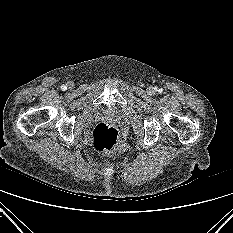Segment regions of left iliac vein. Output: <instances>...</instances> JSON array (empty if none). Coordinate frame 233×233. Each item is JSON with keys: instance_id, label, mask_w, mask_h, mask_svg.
Wrapping results in <instances>:
<instances>
[{"instance_id": "left-iliac-vein-1", "label": "left iliac vein", "mask_w": 233, "mask_h": 233, "mask_svg": "<svg viewBox=\"0 0 233 233\" xmlns=\"http://www.w3.org/2000/svg\"><path fill=\"white\" fill-rule=\"evenodd\" d=\"M149 90H150V92H153V88H150Z\"/></svg>"}]
</instances>
